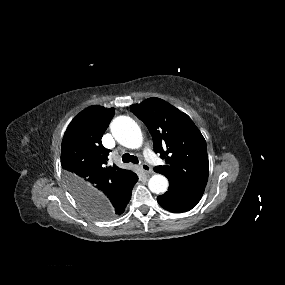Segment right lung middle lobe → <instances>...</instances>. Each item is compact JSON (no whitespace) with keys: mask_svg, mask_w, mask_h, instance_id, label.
<instances>
[{"mask_svg":"<svg viewBox=\"0 0 285 285\" xmlns=\"http://www.w3.org/2000/svg\"><path fill=\"white\" fill-rule=\"evenodd\" d=\"M70 187V186H69ZM71 189V188H70ZM90 215L103 220H108L114 218V215L109 209L107 208H95L91 206H84L81 205Z\"/></svg>","mask_w":285,"mask_h":285,"instance_id":"obj_1","label":"right lung middle lobe"}]
</instances>
